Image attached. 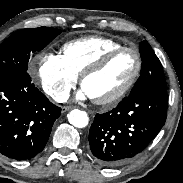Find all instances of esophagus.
<instances>
[{
	"label": "esophagus",
	"mask_w": 183,
	"mask_h": 183,
	"mask_svg": "<svg viewBox=\"0 0 183 183\" xmlns=\"http://www.w3.org/2000/svg\"><path fill=\"white\" fill-rule=\"evenodd\" d=\"M72 108H73L72 106H64V107H62V113H65V112L71 110Z\"/></svg>",
	"instance_id": "34e87169"
}]
</instances>
